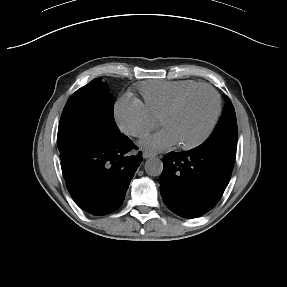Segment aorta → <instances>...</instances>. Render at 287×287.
Returning <instances> with one entry per match:
<instances>
[{"label":"aorta","mask_w":287,"mask_h":287,"mask_svg":"<svg viewBox=\"0 0 287 287\" xmlns=\"http://www.w3.org/2000/svg\"><path fill=\"white\" fill-rule=\"evenodd\" d=\"M163 171V163L159 158H150L145 163V172L150 176H159Z\"/></svg>","instance_id":"762f6f07"}]
</instances>
